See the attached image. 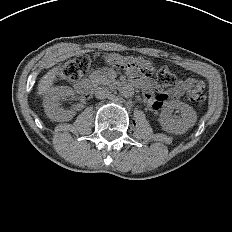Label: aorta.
I'll list each match as a JSON object with an SVG mask.
<instances>
[{
	"label": "aorta",
	"mask_w": 232,
	"mask_h": 232,
	"mask_svg": "<svg viewBox=\"0 0 232 232\" xmlns=\"http://www.w3.org/2000/svg\"><path fill=\"white\" fill-rule=\"evenodd\" d=\"M135 90L132 85H124L120 88V95L124 98H131L134 96Z\"/></svg>",
	"instance_id": "obj_1"
}]
</instances>
